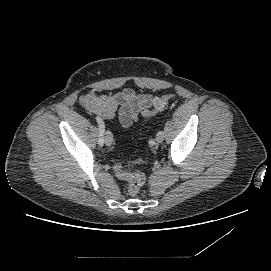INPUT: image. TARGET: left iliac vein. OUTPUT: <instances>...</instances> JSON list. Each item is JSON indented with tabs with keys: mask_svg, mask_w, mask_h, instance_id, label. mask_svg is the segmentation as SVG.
<instances>
[{
	"mask_svg": "<svg viewBox=\"0 0 271 271\" xmlns=\"http://www.w3.org/2000/svg\"><path fill=\"white\" fill-rule=\"evenodd\" d=\"M163 140H164V132L161 130V131H159V132L157 133L156 141H157L158 143H161V142H163Z\"/></svg>",
	"mask_w": 271,
	"mask_h": 271,
	"instance_id": "1",
	"label": "left iliac vein"
}]
</instances>
